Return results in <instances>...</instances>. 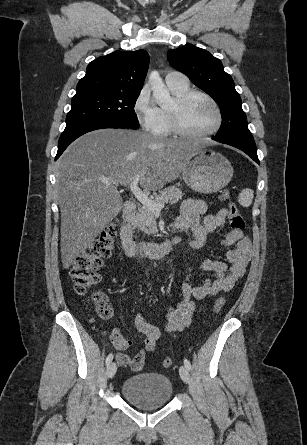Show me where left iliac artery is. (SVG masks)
Masks as SVG:
<instances>
[{"label": "left iliac artery", "instance_id": "left-iliac-artery-1", "mask_svg": "<svg viewBox=\"0 0 307 445\" xmlns=\"http://www.w3.org/2000/svg\"><path fill=\"white\" fill-rule=\"evenodd\" d=\"M184 365L188 370H191V364L190 361L187 359H184Z\"/></svg>", "mask_w": 307, "mask_h": 445}]
</instances>
